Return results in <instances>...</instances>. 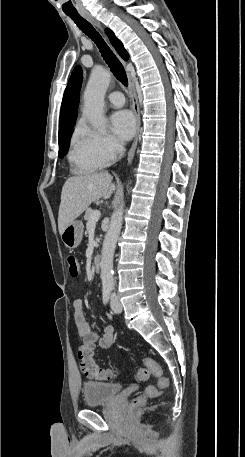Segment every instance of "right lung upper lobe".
<instances>
[{"instance_id": "cb5924a9", "label": "right lung upper lobe", "mask_w": 245, "mask_h": 457, "mask_svg": "<svg viewBox=\"0 0 245 457\" xmlns=\"http://www.w3.org/2000/svg\"><path fill=\"white\" fill-rule=\"evenodd\" d=\"M107 34L112 45L115 47L119 55L127 60L128 53L124 49L123 44L116 38L114 33L107 29ZM82 83V70L80 66H76L71 74L68 85L65 89L61 104V112L59 119V128L75 123L77 118V108L79 104L80 88Z\"/></svg>"}]
</instances>
